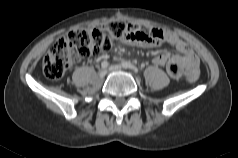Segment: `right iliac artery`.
<instances>
[{"label": "right iliac artery", "instance_id": "82829eb1", "mask_svg": "<svg viewBox=\"0 0 238 158\" xmlns=\"http://www.w3.org/2000/svg\"><path fill=\"white\" fill-rule=\"evenodd\" d=\"M108 62L107 61H103L102 63H101V67L103 68V69H106L107 67H108Z\"/></svg>", "mask_w": 238, "mask_h": 158}]
</instances>
